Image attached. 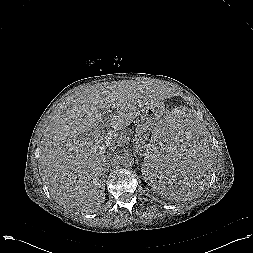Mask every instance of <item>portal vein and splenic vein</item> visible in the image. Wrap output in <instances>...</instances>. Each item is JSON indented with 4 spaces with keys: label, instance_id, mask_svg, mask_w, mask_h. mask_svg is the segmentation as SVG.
I'll use <instances>...</instances> for the list:
<instances>
[{
    "label": "portal vein and splenic vein",
    "instance_id": "18ae733b",
    "mask_svg": "<svg viewBox=\"0 0 253 253\" xmlns=\"http://www.w3.org/2000/svg\"><path fill=\"white\" fill-rule=\"evenodd\" d=\"M105 126H107V124H103V127H105ZM102 127V128H103ZM102 132H103V130H100V129H97V130H95L93 133H92V136L93 137H95V138H99V137H101L102 136Z\"/></svg>",
    "mask_w": 253,
    "mask_h": 253
}]
</instances>
